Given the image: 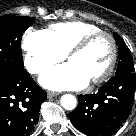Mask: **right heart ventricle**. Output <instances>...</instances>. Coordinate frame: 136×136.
Here are the masks:
<instances>
[{
	"label": "right heart ventricle",
	"instance_id": "obj_1",
	"mask_svg": "<svg viewBox=\"0 0 136 136\" xmlns=\"http://www.w3.org/2000/svg\"><path fill=\"white\" fill-rule=\"evenodd\" d=\"M44 31L57 50L65 55L84 36L100 29L83 21H67L52 24Z\"/></svg>",
	"mask_w": 136,
	"mask_h": 136
}]
</instances>
